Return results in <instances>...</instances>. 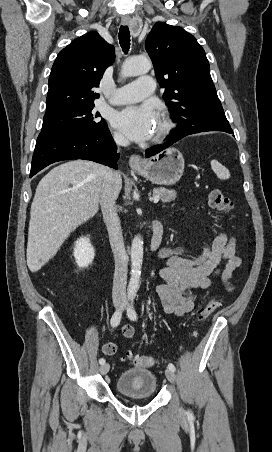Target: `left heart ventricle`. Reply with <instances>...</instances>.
Here are the masks:
<instances>
[{
  "instance_id": "obj_1",
  "label": "left heart ventricle",
  "mask_w": 272,
  "mask_h": 452,
  "mask_svg": "<svg viewBox=\"0 0 272 452\" xmlns=\"http://www.w3.org/2000/svg\"><path fill=\"white\" fill-rule=\"evenodd\" d=\"M160 121H161V120H158V121H157V124H156V127H155V133L159 130V127H160Z\"/></svg>"
}]
</instances>
